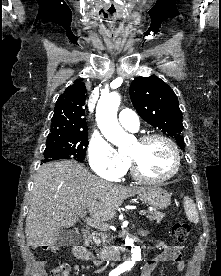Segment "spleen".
I'll return each mask as SVG.
<instances>
[{
	"instance_id": "3e777b00",
	"label": "spleen",
	"mask_w": 221,
	"mask_h": 276,
	"mask_svg": "<svg viewBox=\"0 0 221 276\" xmlns=\"http://www.w3.org/2000/svg\"><path fill=\"white\" fill-rule=\"evenodd\" d=\"M184 210L190 222L194 224L199 223V214L196 205L189 197H184Z\"/></svg>"
}]
</instances>
